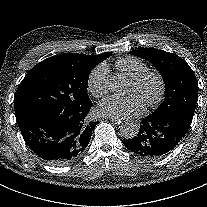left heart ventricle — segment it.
Returning a JSON list of instances; mask_svg holds the SVG:
<instances>
[{"mask_svg": "<svg viewBox=\"0 0 207 207\" xmlns=\"http://www.w3.org/2000/svg\"><path fill=\"white\" fill-rule=\"evenodd\" d=\"M157 89L156 82L151 80L141 90H136L133 85L130 84L128 93L138 95L143 103L146 104L149 99L154 98L157 93Z\"/></svg>", "mask_w": 207, "mask_h": 207, "instance_id": "1", "label": "left heart ventricle"}]
</instances>
